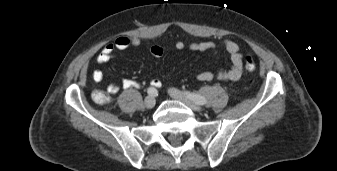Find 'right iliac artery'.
<instances>
[{"mask_svg": "<svg viewBox=\"0 0 337 171\" xmlns=\"http://www.w3.org/2000/svg\"><path fill=\"white\" fill-rule=\"evenodd\" d=\"M148 94L150 96L156 97V96H158V91L154 87H150V88H148Z\"/></svg>", "mask_w": 337, "mask_h": 171, "instance_id": "obj_1", "label": "right iliac artery"}]
</instances>
